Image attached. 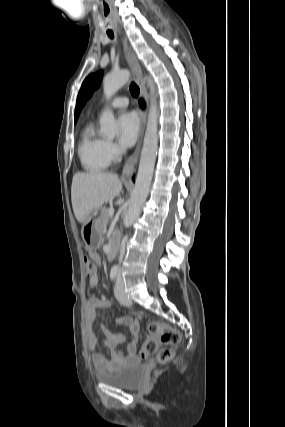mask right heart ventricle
<instances>
[{
  "label": "right heart ventricle",
  "mask_w": 285,
  "mask_h": 427,
  "mask_svg": "<svg viewBox=\"0 0 285 427\" xmlns=\"http://www.w3.org/2000/svg\"><path fill=\"white\" fill-rule=\"evenodd\" d=\"M107 140L100 136L93 123L82 130L78 144V157L82 168L89 173L104 171L111 162L107 151Z\"/></svg>",
  "instance_id": "1"
}]
</instances>
